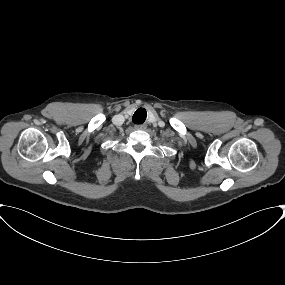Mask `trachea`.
I'll return each mask as SVG.
<instances>
[{"label": "trachea", "instance_id": "obj_1", "mask_svg": "<svg viewBox=\"0 0 285 285\" xmlns=\"http://www.w3.org/2000/svg\"><path fill=\"white\" fill-rule=\"evenodd\" d=\"M147 112L144 108H139L135 111L132 121L135 124H142L146 120Z\"/></svg>", "mask_w": 285, "mask_h": 285}]
</instances>
